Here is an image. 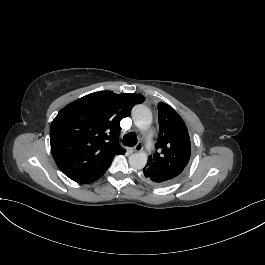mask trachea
I'll list each match as a JSON object with an SVG mask.
<instances>
[{
  "label": "trachea",
  "instance_id": "1",
  "mask_svg": "<svg viewBox=\"0 0 265 265\" xmlns=\"http://www.w3.org/2000/svg\"><path fill=\"white\" fill-rule=\"evenodd\" d=\"M123 142L127 146H134L137 144V136L135 133H128L124 136Z\"/></svg>",
  "mask_w": 265,
  "mask_h": 265
}]
</instances>
